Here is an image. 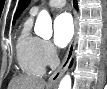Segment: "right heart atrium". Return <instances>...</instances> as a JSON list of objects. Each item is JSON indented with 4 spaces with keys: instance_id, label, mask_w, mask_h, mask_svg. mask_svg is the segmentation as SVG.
Listing matches in <instances>:
<instances>
[{
    "instance_id": "1",
    "label": "right heart atrium",
    "mask_w": 107,
    "mask_h": 89,
    "mask_svg": "<svg viewBox=\"0 0 107 89\" xmlns=\"http://www.w3.org/2000/svg\"><path fill=\"white\" fill-rule=\"evenodd\" d=\"M41 52L46 65H51L54 63L56 59V50L51 42L42 40Z\"/></svg>"
}]
</instances>
